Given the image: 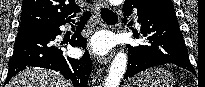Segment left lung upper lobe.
Returning <instances> with one entry per match:
<instances>
[{
    "mask_svg": "<svg viewBox=\"0 0 205 87\" xmlns=\"http://www.w3.org/2000/svg\"><path fill=\"white\" fill-rule=\"evenodd\" d=\"M131 1L141 2V1H145V0H126L125 2H131Z\"/></svg>",
    "mask_w": 205,
    "mask_h": 87,
    "instance_id": "1",
    "label": "left lung upper lobe"
}]
</instances>
